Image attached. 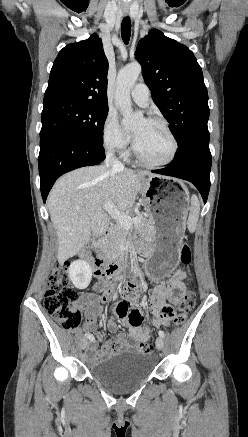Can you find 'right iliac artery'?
<instances>
[{
  "label": "right iliac artery",
  "mask_w": 248,
  "mask_h": 437,
  "mask_svg": "<svg viewBox=\"0 0 248 437\" xmlns=\"http://www.w3.org/2000/svg\"><path fill=\"white\" fill-rule=\"evenodd\" d=\"M85 336H86L88 339H90L91 341L94 340V337H93L92 334L87 333V334H85Z\"/></svg>",
  "instance_id": "82829eb1"
}]
</instances>
